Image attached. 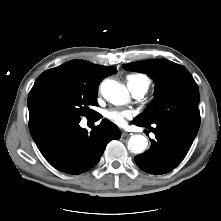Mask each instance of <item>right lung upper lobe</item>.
I'll list each match as a JSON object with an SVG mask.
<instances>
[{
    "label": "right lung upper lobe",
    "mask_w": 221,
    "mask_h": 221,
    "mask_svg": "<svg viewBox=\"0 0 221 221\" xmlns=\"http://www.w3.org/2000/svg\"><path fill=\"white\" fill-rule=\"evenodd\" d=\"M116 72L115 67L101 66L84 60H72L61 66L46 70L37 78L29 93V121L43 116L38 107V94L45 85L59 79H69L98 88L103 78Z\"/></svg>",
    "instance_id": "obj_1"
}]
</instances>
